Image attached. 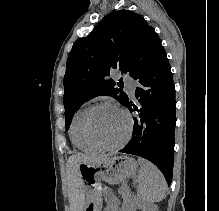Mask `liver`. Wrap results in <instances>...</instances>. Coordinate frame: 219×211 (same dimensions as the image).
<instances>
[{
  "label": "liver",
  "mask_w": 219,
  "mask_h": 211,
  "mask_svg": "<svg viewBox=\"0 0 219 211\" xmlns=\"http://www.w3.org/2000/svg\"><path fill=\"white\" fill-rule=\"evenodd\" d=\"M107 155H85V153H78V155H70L68 159V179H69V203L71 211H83L85 203V195L83 185L77 177V165L80 161H87V163H99L101 159H105Z\"/></svg>",
  "instance_id": "6515ba94"
}]
</instances>
